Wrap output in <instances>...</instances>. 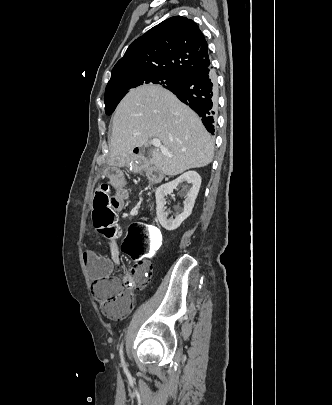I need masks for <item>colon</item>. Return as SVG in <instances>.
I'll list each match as a JSON object with an SVG mask.
<instances>
[{
	"label": "colon",
	"mask_w": 332,
	"mask_h": 405,
	"mask_svg": "<svg viewBox=\"0 0 332 405\" xmlns=\"http://www.w3.org/2000/svg\"><path fill=\"white\" fill-rule=\"evenodd\" d=\"M112 193L108 184H102L95 192L92 220L95 230L105 238L116 236V213L112 211ZM157 231H152L151 228ZM162 244L158 229L148 221H136L129 227V235L123 248L124 256H155ZM150 260V259H149ZM149 260L142 259L129 281L116 276H105L95 281L93 292L96 301L108 316L122 313L130 300V290L142 287L152 270Z\"/></svg>",
	"instance_id": "colon-1"
}]
</instances>
